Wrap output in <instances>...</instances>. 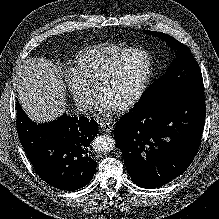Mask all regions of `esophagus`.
Masks as SVG:
<instances>
[{"label": "esophagus", "instance_id": "1", "mask_svg": "<svg viewBox=\"0 0 219 219\" xmlns=\"http://www.w3.org/2000/svg\"><path fill=\"white\" fill-rule=\"evenodd\" d=\"M99 125L103 132L109 133L113 129V125L110 122L100 121Z\"/></svg>", "mask_w": 219, "mask_h": 219}]
</instances>
